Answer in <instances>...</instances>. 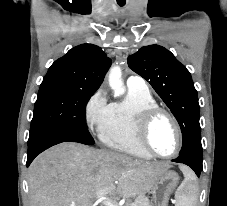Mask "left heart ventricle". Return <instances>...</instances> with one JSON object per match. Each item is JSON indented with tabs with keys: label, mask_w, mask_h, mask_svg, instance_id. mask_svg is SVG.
Wrapping results in <instances>:
<instances>
[{
	"label": "left heart ventricle",
	"mask_w": 227,
	"mask_h": 206,
	"mask_svg": "<svg viewBox=\"0 0 227 206\" xmlns=\"http://www.w3.org/2000/svg\"><path fill=\"white\" fill-rule=\"evenodd\" d=\"M149 141L153 149L163 155L174 152L177 145V136L171 121L164 115L158 116L153 122Z\"/></svg>",
	"instance_id": "1"
}]
</instances>
